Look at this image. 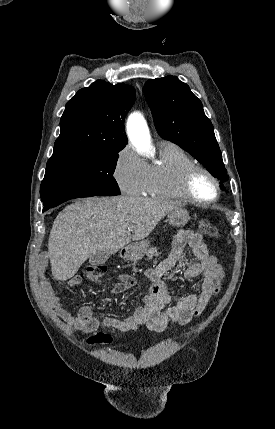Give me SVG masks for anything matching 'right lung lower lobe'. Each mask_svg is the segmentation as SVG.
I'll use <instances>...</instances> for the list:
<instances>
[{
  "label": "right lung lower lobe",
  "instance_id": "98d812e1",
  "mask_svg": "<svg viewBox=\"0 0 275 429\" xmlns=\"http://www.w3.org/2000/svg\"><path fill=\"white\" fill-rule=\"evenodd\" d=\"M91 196H97V195H84V194H65V195H60L57 196L51 200L45 201L44 202V208H43V212L48 210L49 208L55 207L69 199H73V198H80V197H91Z\"/></svg>",
  "mask_w": 275,
  "mask_h": 429
}]
</instances>
